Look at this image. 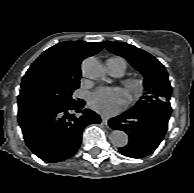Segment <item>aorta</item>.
I'll return each mask as SVG.
<instances>
[{"label": "aorta", "instance_id": "obj_1", "mask_svg": "<svg viewBox=\"0 0 194 193\" xmlns=\"http://www.w3.org/2000/svg\"><path fill=\"white\" fill-rule=\"evenodd\" d=\"M82 72L89 79H102L106 70L95 57H88L82 62ZM110 142L116 147H124L128 144V135L121 130L113 131L109 136Z\"/></svg>", "mask_w": 194, "mask_h": 193}]
</instances>
